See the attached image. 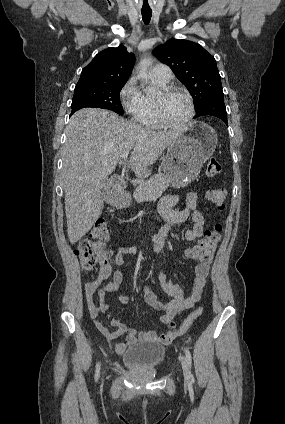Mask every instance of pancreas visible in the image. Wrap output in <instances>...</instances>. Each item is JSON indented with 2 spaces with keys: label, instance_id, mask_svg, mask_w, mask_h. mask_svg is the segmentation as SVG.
Instances as JSON below:
<instances>
[{
  "label": "pancreas",
  "instance_id": "1",
  "mask_svg": "<svg viewBox=\"0 0 285 424\" xmlns=\"http://www.w3.org/2000/svg\"><path fill=\"white\" fill-rule=\"evenodd\" d=\"M169 186L170 182L162 174H156L140 183L133 192V197L137 203H143L160 197Z\"/></svg>",
  "mask_w": 285,
  "mask_h": 424
}]
</instances>
